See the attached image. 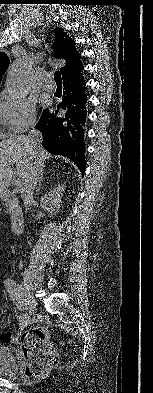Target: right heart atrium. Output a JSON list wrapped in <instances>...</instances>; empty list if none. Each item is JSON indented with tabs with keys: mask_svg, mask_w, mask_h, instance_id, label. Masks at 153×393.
<instances>
[{
	"mask_svg": "<svg viewBox=\"0 0 153 393\" xmlns=\"http://www.w3.org/2000/svg\"><path fill=\"white\" fill-rule=\"evenodd\" d=\"M35 105L26 98L7 99L0 107V122L11 133L29 130L35 124Z\"/></svg>",
	"mask_w": 153,
	"mask_h": 393,
	"instance_id": "obj_1",
	"label": "right heart atrium"
}]
</instances>
